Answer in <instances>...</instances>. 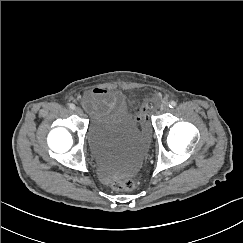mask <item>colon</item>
Returning a JSON list of instances; mask_svg holds the SVG:
<instances>
[{
	"label": "colon",
	"mask_w": 243,
	"mask_h": 243,
	"mask_svg": "<svg viewBox=\"0 0 243 243\" xmlns=\"http://www.w3.org/2000/svg\"><path fill=\"white\" fill-rule=\"evenodd\" d=\"M148 105L144 103H137L136 107V114L137 119L141 124H145L147 122V112H148ZM136 182L134 179H124V180H117L112 184V188L115 191H131L135 188Z\"/></svg>",
	"instance_id": "1"
}]
</instances>
